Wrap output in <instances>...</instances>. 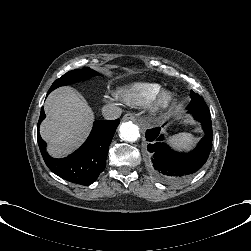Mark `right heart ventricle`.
<instances>
[{
    "mask_svg": "<svg viewBox=\"0 0 251 251\" xmlns=\"http://www.w3.org/2000/svg\"><path fill=\"white\" fill-rule=\"evenodd\" d=\"M158 85L154 80L133 81L118 87L116 96L131 106L143 107L150 103Z\"/></svg>",
    "mask_w": 251,
    "mask_h": 251,
    "instance_id": "obj_1",
    "label": "right heart ventricle"
}]
</instances>
